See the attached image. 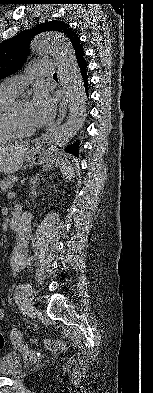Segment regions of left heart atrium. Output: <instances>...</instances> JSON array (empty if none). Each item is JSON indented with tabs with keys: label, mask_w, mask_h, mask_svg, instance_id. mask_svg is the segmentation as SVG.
<instances>
[{
	"label": "left heart atrium",
	"mask_w": 153,
	"mask_h": 393,
	"mask_svg": "<svg viewBox=\"0 0 153 393\" xmlns=\"http://www.w3.org/2000/svg\"><path fill=\"white\" fill-rule=\"evenodd\" d=\"M56 113L54 99L45 91L38 90L30 103V121L33 126L41 127L48 124Z\"/></svg>",
	"instance_id": "obj_1"
}]
</instances>
